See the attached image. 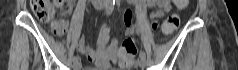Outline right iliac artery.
Returning <instances> with one entry per match:
<instances>
[{
    "mask_svg": "<svg viewBox=\"0 0 238 70\" xmlns=\"http://www.w3.org/2000/svg\"><path fill=\"white\" fill-rule=\"evenodd\" d=\"M114 4H115V0H107L106 8H105L106 15H110L112 13L114 9ZM78 60H79L78 56L73 57V61H78Z\"/></svg>",
    "mask_w": 238,
    "mask_h": 70,
    "instance_id": "82829eb1",
    "label": "right iliac artery"
}]
</instances>
